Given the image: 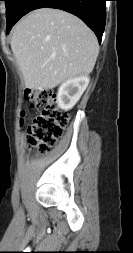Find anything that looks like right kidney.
Returning <instances> with one entry per match:
<instances>
[{"instance_id":"obj_1","label":"right kidney","mask_w":133,"mask_h":253,"mask_svg":"<svg viewBox=\"0 0 133 253\" xmlns=\"http://www.w3.org/2000/svg\"><path fill=\"white\" fill-rule=\"evenodd\" d=\"M89 82L88 76H80L64 82L58 89V106L65 111L72 109L86 90Z\"/></svg>"}]
</instances>
